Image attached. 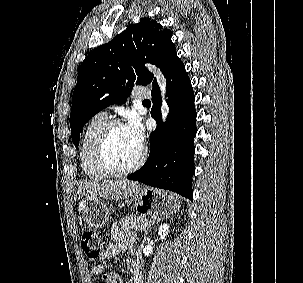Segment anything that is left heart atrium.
<instances>
[{
	"label": "left heart atrium",
	"mask_w": 303,
	"mask_h": 283,
	"mask_svg": "<svg viewBox=\"0 0 303 283\" xmlns=\"http://www.w3.org/2000/svg\"><path fill=\"white\" fill-rule=\"evenodd\" d=\"M125 128L134 143L141 148L144 143V129L139 118L135 115H131Z\"/></svg>",
	"instance_id": "left-heart-atrium-1"
}]
</instances>
